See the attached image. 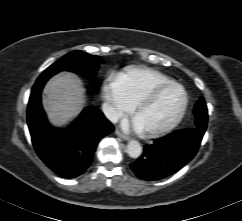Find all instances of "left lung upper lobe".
Returning a JSON list of instances; mask_svg holds the SVG:
<instances>
[{"mask_svg":"<svg viewBox=\"0 0 242 221\" xmlns=\"http://www.w3.org/2000/svg\"><path fill=\"white\" fill-rule=\"evenodd\" d=\"M193 112L195 116V127L206 129L208 112L203 98H200L196 103Z\"/></svg>","mask_w":242,"mask_h":221,"instance_id":"obj_1","label":"left lung upper lobe"}]
</instances>
